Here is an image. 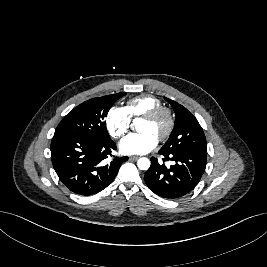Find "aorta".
Returning a JSON list of instances; mask_svg holds the SVG:
<instances>
[{
    "instance_id": "762f6f07",
    "label": "aorta",
    "mask_w": 267,
    "mask_h": 267,
    "mask_svg": "<svg viewBox=\"0 0 267 267\" xmlns=\"http://www.w3.org/2000/svg\"><path fill=\"white\" fill-rule=\"evenodd\" d=\"M150 160L148 158L142 157L138 159L137 166L140 170H148L150 167Z\"/></svg>"
}]
</instances>
